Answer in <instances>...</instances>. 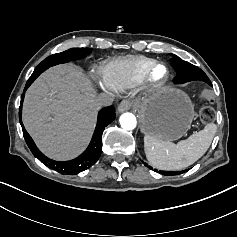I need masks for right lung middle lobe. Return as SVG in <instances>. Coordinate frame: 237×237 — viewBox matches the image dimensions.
I'll return each mask as SVG.
<instances>
[{
	"label": "right lung middle lobe",
	"instance_id": "obj_1",
	"mask_svg": "<svg viewBox=\"0 0 237 237\" xmlns=\"http://www.w3.org/2000/svg\"><path fill=\"white\" fill-rule=\"evenodd\" d=\"M91 48H73L66 50L61 53L53 54L43 60L34 70L31 75L34 78H37L42 72L48 69L51 66L66 63L71 60H78L84 58L86 55L90 54Z\"/></svg>",
	"mask_w": 237,
	"mask_h": 237
}]
</instances>
